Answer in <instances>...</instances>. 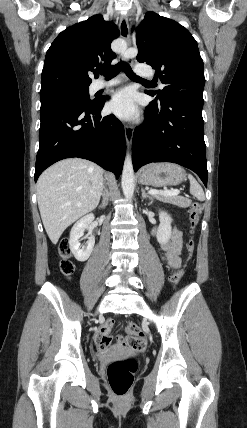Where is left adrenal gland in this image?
Wrapping results in <instances>:
<instances>
[{
  "instance_id": "1",
  "label": "left adrenal gland",
  "mask_w": 247,
  "mask_h": 428,
  "mask_svg": "<svg viewBox=\"0 0 247 428\" xmlns=\"http://www.w3.org/2000/svg\"><path fill=\"white\" fill-rule=\"evenodd\" d=\"M141 191H142V197L144 198V197H147V198H149V199H151L152 200V197L149 195V194H147L146 193V191L144 190V188L142 187L141 188Z\"/></svg>"
}]
</instances>
